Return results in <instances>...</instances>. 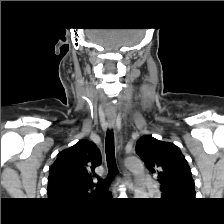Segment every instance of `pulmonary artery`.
Returning <instances> with one entry per match:
<instances>
[{
    "mask_svg": "<svg viewBox=\"0 0 224 224\" xmlns=\"http://www.w3.org/2000/svg\"><path fill=\"white\" fill-rule=\"evenodd\" d=\"M144 183H145L146 187H148V188L155 186L149 177H144Z\"/></svg>",
    "mask_w": 224,
    "mask_h": 224,
    "instance_id": "pulmonary-artery-1",
    "label": "pulmonary artery"
}]
</instances>
